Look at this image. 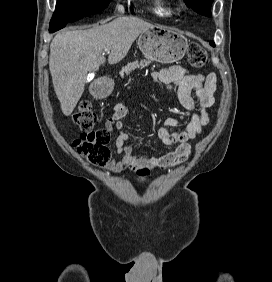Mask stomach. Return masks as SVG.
Masks as SVG:
<instances>
[{"label": "stomach", "instance_id": "obj_1", "mask_svg": "<svg viewBox=\"0 0 272 282\" xmlns=\"http://www.w3.org/2000/svg\"><path fill=\"white\" fill-rule=\"evenodd\" d=\"M137 43L146 58L160 63L179 61L188 48L187 39L181 33L165 26H154L143 32ZM113 87L114 82L108 80L106 92L110 93Z\"/></svg>", "mask_w": 272, "mask_h": 282}]
</instances>
